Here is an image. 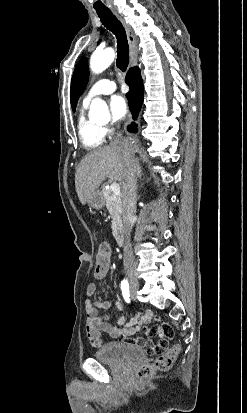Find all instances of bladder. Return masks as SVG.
Instances as JSON below:
<instances>
[{"instance_id": "bladder-1", "label": "bladder", "mask_w": 247, "mask_h": 413, "mask_svg": "<svg viewBox=\"0 0 247 413\" xmlns=\"http://www.w3.org/2000/svg\"><path fill=\"white\" fill-rule=\"evenodd\" d=\"M144 357L145 353L141 348L118 342L107 343L95 352L96 359L117 364H126L133 359Z\"/></svg>"}]
</instances>
